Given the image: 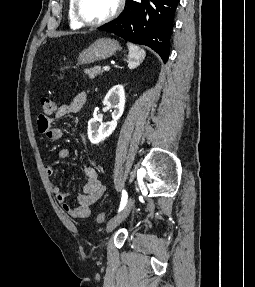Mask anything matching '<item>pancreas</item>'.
<instances>
[{"mask_svg":"<svg viewBox=\"0 0 255 287\" xmlns=\"http://www.w3.org/2000/svg\"><path fill=\"white\" fill-rule=\"evenodd\" d=\"M101 66H95V68H89V70H84V74H87L88 78H95V76H98L100 74Z\"/></svg>","mask_w":255,"mask_h":287,"instance_id":"pancreas-1","label":"pancreas"}]
</instances>
